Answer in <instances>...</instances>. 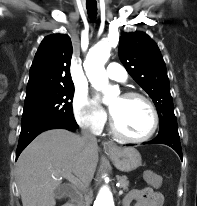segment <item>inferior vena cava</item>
Masks as SVG:
<instances>
[{
  "mask_svg": "<svg viewBox=\"0 0 197 206\" xmlns=\"http://www.w3.org/2000/svg\"><path fill=\"white\" fill-rule=\"evenodd\" d=\"M82 139L86 146H89V147L97 146L96 137L88 129L82 130ZM81 206H85V203L83 200L81 201Z\"/></svg>",
  "mask_w": 197,
  "mask_h": 206,
  "instance_id": "obj_1",
  "label": "inferior vena cava"
}]
</instances>
